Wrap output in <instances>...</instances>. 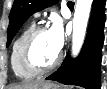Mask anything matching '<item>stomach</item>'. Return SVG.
I'll list each match as a JSON object with an SVG mask.
<instances>
[{
  "instance_id": "0dacf381",
  "label": "stomach",
  "mask_w": 107,
  "mask_h": 89,
  "mask_svg": "<svg viewBox=\"0 0 107 89\" xmlns=\"http://www.w3.org/2000/svg\"><path fill=\"white\" fill-rule=\"evenodd\" d=\"M40 89H60V88L56 84L49 83V84L43 85L42 87H40Z\"/></svg>"
}]
</instances>
